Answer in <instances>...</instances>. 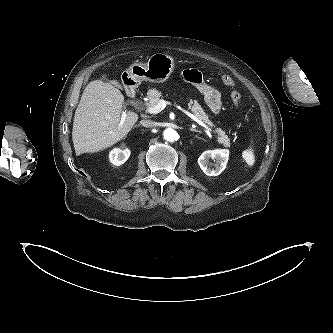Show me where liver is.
<instances>
[{
  "instance_id": "liver-1",
  "label": "liver",
  "mask_w": 333,
  "mask_h": 333,
  "mask_svg": "<svg viewBox=\"0 0 333 333\" xmlns=\"http://www.w3.org/2000/svg\"><path fill=\"white\" fill-rule=\"evenodd\" d=\"M117 81H91L76 108L72 140L77 155L108 148L123 139L138 120L135 112H122L124 96ZM126 115L120 127L122 116Z\"/></svg>"
}]
</instances>
